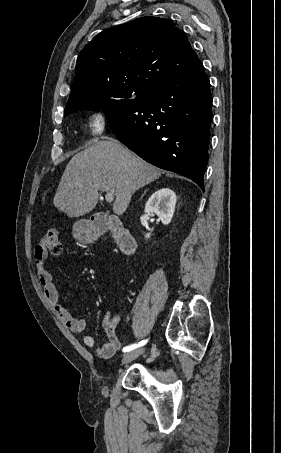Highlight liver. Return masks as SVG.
<instances>
[{"mask_svg":"<svg viewBox=\"0 0 281 453\" xmlns=\"http://www.w3.org/2000/svg\"><path fill=\"white\" fill-rule=\"evenodd\" d=\"M161 176L116 138L99 140L69 160L53 202L68 216H83L95 208L99 190L113 192V212L123 214L132 194Z\"/></svg>","mask_w":281,"mask_h":453,"instance_id":"liver-1","label":"liver"}]
</instances>
